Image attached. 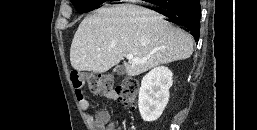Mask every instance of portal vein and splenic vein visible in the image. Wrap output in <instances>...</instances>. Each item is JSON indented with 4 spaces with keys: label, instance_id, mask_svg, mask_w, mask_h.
<instances>
[{
    "label": "portal vein and splenic vein",
    "instance_id": "obj_1",
    "mask_svg": "<svg viewBox=\"0 0 257 130\" xmlns=\"http://www.w3.org/2000/svg\"><path fill=\"white\" fill-rule=\"evenodd\" d=\"M126 58H127V60L135 62V63H141L142 62L141 60H139L137 58H134V56L132 54H127Z\"/></svg>",
    "mask_w": 257,
    "mask_h": 130
}]
</instances>
